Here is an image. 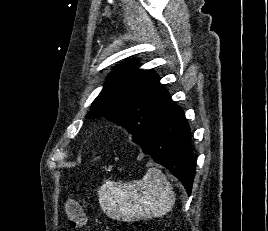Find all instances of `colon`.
<instances>
[{"label":"colon","instance_id":"colon-1","mask_svg":"<svg viewBox=\"0 0 268 231\" xmlns=\"http://www.w3.org/2000/svg\"><path fill=\"white\" fill-rule=\"evenodd\" d=\"M65 214L72 229L78 230L86 225V215L81 204L75 199H67L65 203Z\"/></svg>","mask_w":268,"mask_h":231}]
</instances>
